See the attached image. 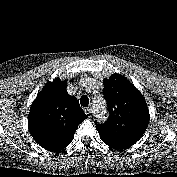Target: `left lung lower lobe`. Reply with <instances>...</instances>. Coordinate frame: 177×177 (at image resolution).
<instances>
[{
    "mask_svg": "<svg viewBox=\"0 0 177 177\" xmlns=\"http://www.w3.org/2000/svg\"><path fill=\"white\" fill-rule=\"evenodd\" d=\"M111 148L113 149H117V150H123V149H127L126 147L122 146V145H117V146H112ZM129 148V147H128Z\"/></svg>",
    "mask_w": 177,
    "mask_h": 177,
    "instance_id": "left-lung-lower-lobe-1",
    "label": "left lung lower lobe"
}]
</instances>
